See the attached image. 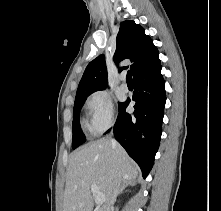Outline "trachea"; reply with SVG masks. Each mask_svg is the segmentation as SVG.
Returning <instances> with one entry per match:
<instances>
[{
	"label": "trachea",
	"mask_w": 221,
	"mask_h": 211,
	"mask_svg": "<svg viewBox=\"0 0 221 211\" xmlns=\"http://www.w3.org/2000/svg\"><path fill=\"white\" fill-rule=\"evenodd\" d=\"M126 81L127 82H132V73H131V71L127 72Z\"/></svg>",
	"instance_id": "trachea-1"
}]
</instances>
